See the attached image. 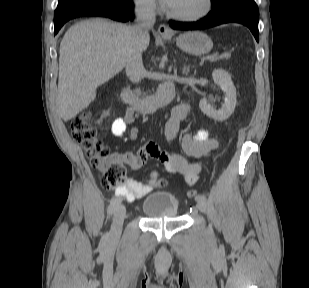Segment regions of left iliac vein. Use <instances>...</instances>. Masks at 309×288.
Instances as JSON below:
<instances>
[{"label": "left iliac vein", "mask_w": 309, "mask_h": 288, "mask_svg": "<svg viewBox=\"0 0 309 288\" xmlns=\"http://www.w3.org/2000/svg\"><path fill=\"white\" fill-rule=\"evenodd\" d=\"M197 208L201 211V212H206V201L205 200H200L197 201Z\"/></svg>", "instance_id": "4c4485c4"}]
</instances>
